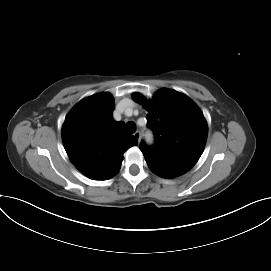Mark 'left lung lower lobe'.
I'll use <instances>...</instances> for the list:
<instances>
[{
  "instance_id": "0a47b994",
  "label": "left lung lower lobe",
  "mask_w": 271,
  "mask_h": 271,
  "mask_svg": "<svg viewBox=\"0 0 271 271\" xmlns=\"http://www.w3.org/2000/svg\"><path fill=\"white\" fill-rule=\"evenodd\" d=\"M149 168L158 176L164 177V178H174L177 177L181 174H183V172L177 171V170H173V169H169V168H165L162 166H158L156 164L153 163H149L147 162Z\"/></svg>"
}]
</instances>
